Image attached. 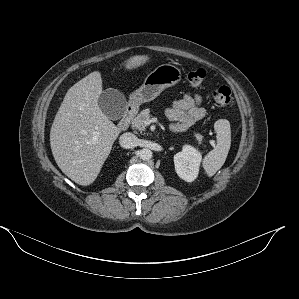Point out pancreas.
Here are the masks:
<instances>
[{
	"label": "pancreas",
	"instance_id": "pancreas-1",
	"mask_svg": "<svg viewBox=\"0 0 299 299\" xmlns=\"http://www.w3.org/2000/svg\"><path fill=\"white\" fill-rule=\"evenodd\" d=\"M148 119H150V109H144L131 120V125L134 129H137L141 132L145 131V121ZM194 137L198 144L202 143L203 136L200 133H194Z\"/></svg>",
	"mask_w": 299,
	"mask_h": 299
}]
</instances>
